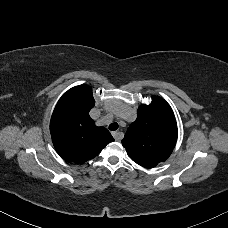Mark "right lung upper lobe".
<instances>
[{
	"instance_id": "right-lung-upper-lobe-1",
	"label": "right lung upper lobe",
	"mask_w": 228,
	"mask_h": 228,
	"mask_svg": "<svg viewBox=\"0 0 228 228\" xmlns=\"http://www.w3.org/2000/svg\"><path fill=\"white\" fill-rule=\"evenodd\" d=\"M94 103L91 87L80 85L64 93L54 109L50 123L52 141L68 162L84 163L114 141L109 131L97 127L89 116Z\"/></svg>"
}]
</instances>
